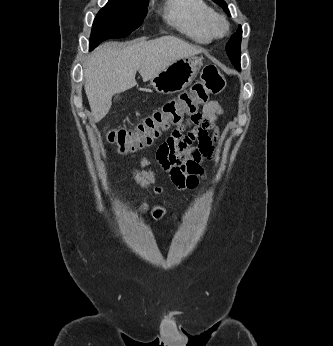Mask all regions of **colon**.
<instances>
[{
	"mask_svg": "<svg viewBox=\"0 0 333 346\" xmlns=\"http://www.w3.org/2000/svg\"><path fill=\"white\" fill-rule=\"evenodd\" d=\"M225 82L215 65H207L198 82L193 84L190 91L181 93L176 99L163 104L144 121L132 129H113L108 133V140L115 145L119 152H134L149 146L162 133L183 118H200L198 109L205 105L209 98L218 95L224 88ZM162 211L156 210L154 216H161Z\"/></svg>",
	"mask_w": 333,
	"mask_h": 346,
	"instance_id": "1",
	"label": "colon"
}]
</instances>
